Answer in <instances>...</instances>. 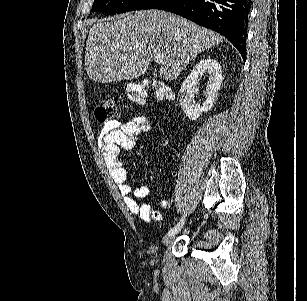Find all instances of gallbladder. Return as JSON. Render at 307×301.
I'll use <instances>...</instances> for the list:
<instances>
[{
	"mask_svg": "<svg viewBox=\"0 0 307 301\" xmlns=\"http://www.w3.org/2000/svg\"><path fill=\"white\" fill-rule=\"evenodd\" d=\"M150 76H157V72H151Z\"/></svg>",
	"mask_w": 307,
	"mask_h": 301,
	"instance_id": "bac80fb5",
	"label": "gallbladder"
}]
</instances>
